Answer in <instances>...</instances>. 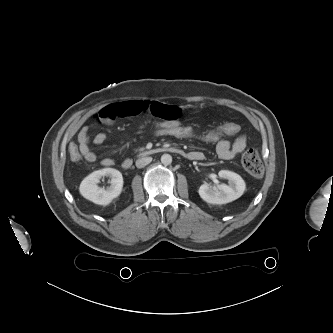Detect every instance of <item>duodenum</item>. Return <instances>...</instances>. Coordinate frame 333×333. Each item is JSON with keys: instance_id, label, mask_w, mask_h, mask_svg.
Returning <instances> with one entry per match:
<instances>
[{"instance_id": "1", "label": "duodenum", "mask_w": 333, "mask_h": 333, "mask_svg": "<svg viewBox=\"0 0 333 333\" xmlns=\"http://www.w3.org/2000/svg\"><path fill=\"white\" fill-rule=\"evenodd\" d=\"M161 152H170V153H174V154H179V155H183V151L176 148V147H157V148H152L148 151H146V155L150 156V155H154V154H158ZM188 156V155H187ZM133 162L130 158H126L123 162H122V167L124 169H129L131 168Z\"/></svg>"}]
</instances>
